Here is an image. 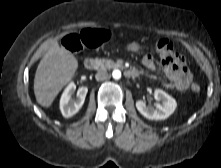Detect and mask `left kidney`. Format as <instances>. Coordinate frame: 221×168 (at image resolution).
Returning a JSON list of instances; mask_svg holds the SVG:
<instances>
[{
    "label": "left kidney",
    "instance_id": "left-kidney-1",
    "mask_svg": "<svg viewBox=\"0 0 221 168\" xmlns=\"http://www.w3.org/2000/svg\"><path fill=\"white\" fill-rule=\"evenodd\" d=\"M154 97L161 103L152 107L146 105L144 101L138 100L136 102L137 110L145 118L150 120H164L168 118L176 109L177 104L175 99L161 89H156L154 91Z\"/></svg>",
    "mask_w": 221,
    "mask_h": 168
}]
</instances>
